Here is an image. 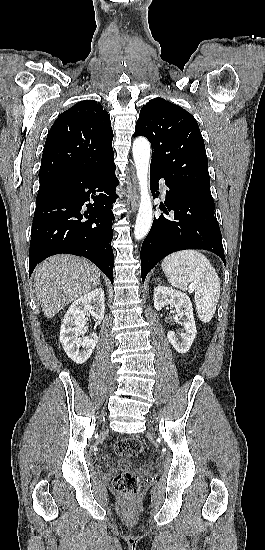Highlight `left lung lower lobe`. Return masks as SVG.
Segmentation results:
<instances>
[{
	"mask_svg": "<svg viewBox=\"0 0 265 550\" xmlns=\"http://www.w3.org/2000/svg\"><path fill=\"white\" fill-rule=\"evenodd\" d=\"M164 178L150 168L152 193L158 189V181ZM164 205L160 209L170 218L154 217L152 227L145 238L140 252L141 277L144 282L147 273L165 256L185 249H204L216 253L225 264L222 237L215 216V206L199 195L174 188L166 180Z\"/></svg>",
	"mask_w": 265,
	"mask_h": 550,
	"instance_id": "1",
	"label": "left lung lower lobe"
}]
</instances>
